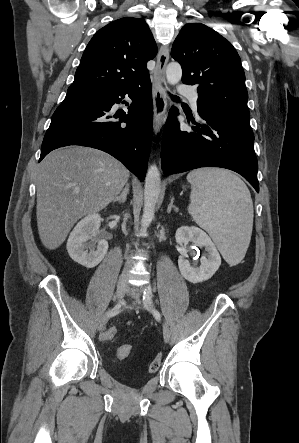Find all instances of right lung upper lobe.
Listing matches in <instances>:
<instances>
[{"mask_svg":"<svg viewBox=\"0 0 299 443\" xmlns=\"http://www.w3.org/2000/svg\"><path fill=\"white\" fill-rule=\"evenodd\" d=\"M157 45L144 19L125 17L101 28L88 43L70 87L97 91L149 78L146 63Z\"/></svg>","mask_w":299,"mask_h":443,"instance_id":"obj_1","label":"right lung upper lobe"}]
</instances>
